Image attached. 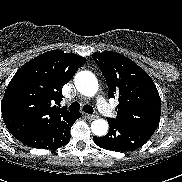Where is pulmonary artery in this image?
<instances>
[{
    "instance_id": "pulmonary-artery-1",
    "label": "pulmonary artery",
    "mask_w": 182,
    "mask_h": 182,
    "mask_svg": "<svg viewBox=\"0 0 182 182\" xmlns=\"http://www.w3.org/2000/svg\"><path fill=\"white\" fill-rule=\"evenodd\" d=\"M97 107L99 111L105 115V116H111L112 115V109L109 106V104L106 102V100L102 96H98L96 99Z\"/></svg>"
}]
</instances>
